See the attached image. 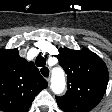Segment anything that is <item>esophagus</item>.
Here are the masks:
<instances>
[{
  "mask_svg": "<svg viewBox=\"0 0 112 112\" xmlns=\"http://www.w3.org/2000/svg\"><path fill=\"white\" fill-rule=\"evenodd\" d=\"M44 68V69H43ZM41 75L49 82L50 81V69L48 67H42L39 69ZM42 72L46 75L44 76Z\"/></svg>",
  "mask_w": 112,
  "mask_h": 112,
  "instance_id": "1",
  "label": "esophagus"
}]
</instances>
